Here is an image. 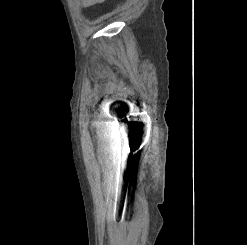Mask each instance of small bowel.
<instances>
[{"mask_svg":"<svg viewBox=\"0 0 247 245\" xmlns=\"http://www.w3.org/2000/svg\"><path fill=\"white\" fill-rule=\"evenodd\" d=\"M78 1L80 2V4L83 7H90V6L96 5L98 3H101L104 0H78Z\"/></svg>","mask_w":247,"mask_h":245,"instance_id":"obj_1","label":"small bowel"}]
</instances>
